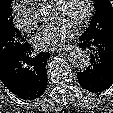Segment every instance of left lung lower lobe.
<instances>
[{"mask_svg": "<svg viewBox=\"0 0 113 113\" xmlns=\"http://www.w3.org/2000/svg\"><path fill=\"white\" fill-rule=\"evenodd\" d=\"M79 39V46L90 55L88 68L77 73L79 84L90 92L106 90L113 83V32H84Z\"/></svg>", "mask_w": 113, "mask_h": 113, "instance_id": "left-lung-lower-lobe-1", "label": "left lung lower lobe"}]
</instances>
